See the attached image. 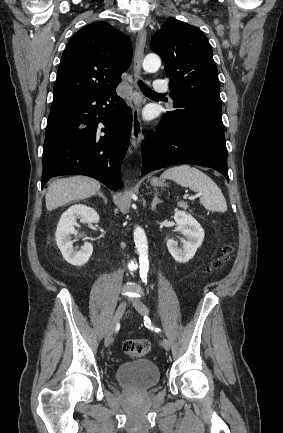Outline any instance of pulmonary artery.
<instances>
[{
	"instance_id": "obj_1",
	"label": "pulmonary artery",
	"mask_w": 283,
	"mask_h": 433,
	"mask_svg": "<svg viewBox=\"0 0 283 433\" xmlns=\"http://www.w3.org/2000/svg\"><path fill=\"white\" fill-rule=\"evenodd\" d=\"M152 91L166 93L168 91V84L164 83L162 78H157L155 83L152 84Z\"/></svg>"
}]
</instances>
